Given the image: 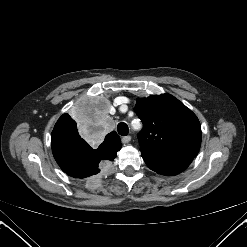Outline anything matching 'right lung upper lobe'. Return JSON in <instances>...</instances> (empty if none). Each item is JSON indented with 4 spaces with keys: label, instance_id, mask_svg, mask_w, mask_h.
Listing matches in <instances>:
<instances>
[{
    "label": "right lung upper lobe",
    "instance_id": "cb5924a9",
    "mask_svg": "<svg viewBox=\"0 0 247 247\" xmlns=\"http://www.w3.org/2000/svg\"><path fill=\"white\" fill-rule=\"evenodd\" d=\"M54 130H63L71 133H78L77 124L73 122L68 114H63L57 123L55 124ZM101 147H108L112 150L119 151L121 149V141L115 131L106 135L104 142L100 145Z\"/></svg>",
    "mask_w": 247,
    "mask_h": 247
}]
</instances>
